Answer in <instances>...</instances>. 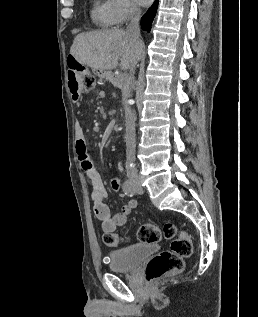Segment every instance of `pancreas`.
Wrapping results in <instances>:
<instances>
[{"mask_svg":"<svg viewBox=\"0 0 258 317\" xmlns=\"http://www.w3.org/2000/svg\"><path fill=\"white\" fill-rule=\"evenodd\" d=\"M109 82H110L111 84H116V87H117L118 90H124L125 87H126L125 84H124L123 81H122V78L111 77V78L109 79Z\"/></svg>","mask_w":258,"mask_h":317,"instance_id":"cf45deb5","label":"pancreas"}]
</instances>
